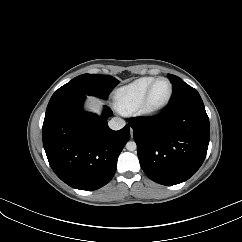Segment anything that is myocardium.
<instances>
[{"label": "myocardium", "instance_id": "f54148a6", "mask_svg": "<svg viewBox=\"0 0 242 242\" xmlns=\"http://www.w3.org/2000/svg\"><path fill=\"white\" fill-rule=\"evenodd\" d=\"M160 80H165L168 82L169 93L163 101H161L159 103H153L151 101V94H152L155 84ZM172 95H173L172 82L167 77H157L149 85L143 99L141 100V102L139 103V105L137 106L136 109L141 115L149 116V115L156 114V113L160 112L161 110H163L169 104V102L172 98Z\"/></svg>", "mask_w": 242, "mask_h": 242}]
</instances>
